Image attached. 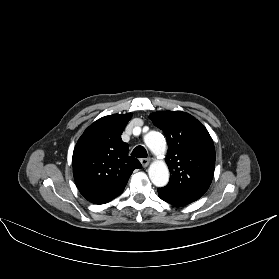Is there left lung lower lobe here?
<instances>
[{
    "mask_svg": "<svg viewBox=\"0 0 279 279\" xmlns=\"http://www.w3.org/2000/svg\"><path fill=\"white\" fill-rule=\"evenodd\" d=\"M158 195L162 200H164L172 205H175V206H184V205H187L190 203L188 201L179 200V199H175V198H172L169 196H165V195L161 194L160 192H158Z\"/></svg>",
    "mask_w": 279,
    "mask_h": 279,
    "instance_id": "left-lung-lower-lobe-1",
    "label": "left lung lower lobe"
}]
</instances>
